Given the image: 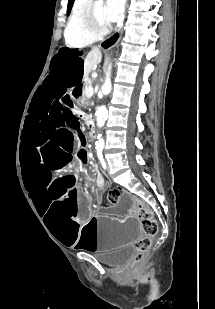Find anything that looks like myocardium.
<instances>
[{"instance_id":"myocardium-1","label":"myocardium","mask_w":215,"mask_h":309,"mask_svg":"<svg viewBox=\"0 0 215 309\" xmlns=\"http://www.w3.org/2000/svg\"><path fill=\"white\" fill-rule=\"evenodd\" d=\"M93 10H94L93 6H87L86 9L77 12H81V16L85 17L86 19L85 24L88 25L86 31L90 30L89 36L98 38L100 35L109 33V28L113 25V20L95 19L94 13L90 12Z\"/></svg>"}]
</instances>
